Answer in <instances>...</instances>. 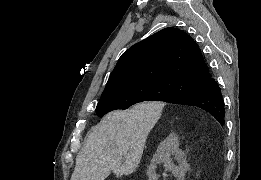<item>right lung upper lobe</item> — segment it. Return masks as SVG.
I'll return each mask as SVG.
<instances>
[{
  "label": "right lung upper lobe",
  "mask_w": 261,
  "mask_h": 180,
  "mask_svg": "<svg viewBox=\"0 0 261 180\" xmlns=\"http://www.w3.org/2000/svg\"><path fill=\"white\" fill-rule=\"evenodd\" d=\"M210 75L201 50L177 28H165L124 52L102 94L126 86L179 79L200 83Z\"/></svg>",
  "instance_id": "1"
}]
</instances>
